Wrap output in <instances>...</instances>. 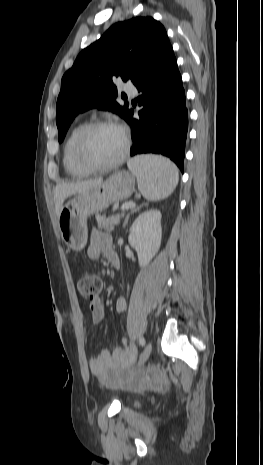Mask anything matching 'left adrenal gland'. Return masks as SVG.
Masks as SVG:
<instances>
[{"instance_id": "1", "label": "left adrenal gland", "mask_w": 263, "mask_h": 465, "mask_svg": "<svg viewBox=\"0 0 263 465\" xmlns=\"http://www.w3.org/2000/svg\"><path fill=\"white\" fill-rule=\"evenodd\" d=\"M140 207H141V206L132 209V210L130 211V213L127 214V216H126V218H125V221H124V223H123V227H125L126 224L128 223V220H129V218H130V215H131L132 213L136 212L137 210H139Z\"/></svg>"}]
</instances>
